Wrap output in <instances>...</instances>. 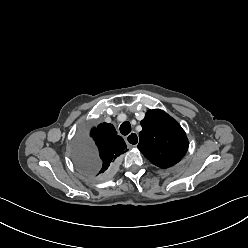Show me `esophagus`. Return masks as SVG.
Instances as JSON below:
<instances>
[{
  "label": "esophagus",
  "instance_id": "obj_1",
  "mask_svg": "<svg viewBox=\"0 0 248 248\" xmlns=\"http://www.w3.org/2000/svg\"><path fill=\"white\" fill-rule=\"evenodd\" d=\"M139 142V137L137 135V133L132 132L130 133L127 137H126V143L130 146V147H135L137 146Z\"/></svg>",
  "mask_w": 248,
  "mask_h": 248
}]
</instances>
